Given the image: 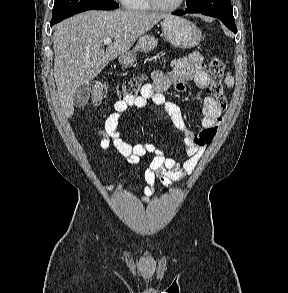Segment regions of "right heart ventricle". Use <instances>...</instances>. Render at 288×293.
<instances>
[{
  "label": "right heart ventricle",
  "mask_w": 288,
  "mask_h": 293,
  "mask_svg": "<svg viewBox=\"0 0 288 293\" xmlns=\"http://www.w3.org/2000/svg\"><path fill=\"white\" fill-rule=\"evenodd\" d=\"M123 4L127 9L135 11H147L152 8L148 0H124Z\"/></svg>",
  "instance_id": "obj_1"
}]
</instances>
